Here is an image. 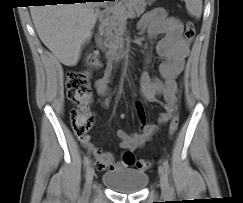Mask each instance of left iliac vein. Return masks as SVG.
I'll use <instances>...</instances> for the list:
<instances>
[{
	"label": "left iliac vein",
	"instance_id": "obj_1",
	"mask_svg": "<svg viewBox=\"0 0 243 203\" xmlns=\"http://www.w3.org/2000/svg\"><path fill=\"white\" fill-rule=\"evenodd\" d=\"M159 175H160L161 191L164 195H167L170 192V188H169L167 173L163 166H159Z\"/></svg>",
	"mask_w": 243,
	"mask_h": 203
}]
</instances>
